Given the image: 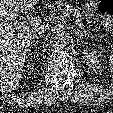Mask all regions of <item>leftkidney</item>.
<instances>
[{"mask_svg": "<svg viewBox=\"0 0 113 113\" xmlns=\"http://www.w3.org/2000/svg\"><path fill=\"white\" fill-rule=\"evenodd\" d=\"M84 59L86 60V63L90 69L93 71H97L101 69V62H102V54L101 51H97L93 48H87L83 52Z\"/></svg>", "mask_w": 113, "mask_h": 113, "instance_id": "5707ae66", "label": "left kidney"}]
</instances>
